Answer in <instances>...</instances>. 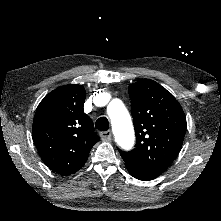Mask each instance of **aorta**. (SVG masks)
<instances>
[{"label": "aorta", "instance_id": "1", "mask_svg": "<svg viewBox=\"0 0 221 221\" xmlns=\"http://www.w3.org/2000/svg\"><path fill=\"white\" fill-rule=\"evenodd\" d=\"M107 114L111 119L116 142L123 149H131L135 142L134 129L130 114L123 102L119 99L112 100L107 107Z\"/></svg>", "mask_w": 221, "mask_h": 221}]
</instances>
